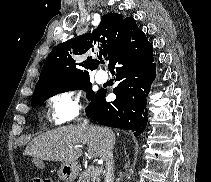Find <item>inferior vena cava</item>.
Returning a JSON list of instances; mask_svg holds the SVG:
<instances>
[{
	"instance_id": "inferior-vena-cava-1",
	"label": "inferior vena cava",
	"mask_w": 211,
	"mask_h": 182,
	"mask_svg": "<svg viewBox=\"0 0 211 182\" xmlns=\"http://www.w3.org/2000/svg\"><path fill=\"white\" fill-rule=\"evenodd\" d=\"M86 121L82 124V126H87ZM97 134H107L106 129H97L96 130ZM113 149L111 146H108L102 159L106 162V174H105V182H113L114 180V160H113Z\"/></svg>"
}]
</instances>
